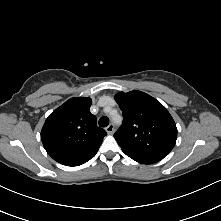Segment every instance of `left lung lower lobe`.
I'll return each instance as SVG.
<instances>
[{"instance_id":"left-lung-lower-lobe-1","label":"left lung lower lobe","mask_w":221,"mask_h":221,"mask_svg":"<svg viewBox=\"0 0 221 221\" xmlns=\"http://www.w3.org/2000/svg\"><path fill=\"white\" fill-rule=\"evenodd\" d=\"M126 155L132 158L133 160L142 164H152L161 160V159L147 157V156L133 154V153H126Z\"/></svg>"}]
</instances>
